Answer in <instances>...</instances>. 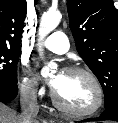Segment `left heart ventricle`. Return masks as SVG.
<instances>
[{
  "instance_id": "b2bd125f",
  "label": "left heart ventricle",
  "mask_w": 118,
  "mask_h": 123,
  "mask_svg": "<svg viewBox=\"0 0 118 123\" xmlns=\"http://www.w3.org/2000/svg\"><path fill=\"white\" fill-rule=\"evenodd\" d=\"M54 90L63 104L77 110L91 107L96 100L95 89L83 74L63 72Z\"/></svg>"
}]
</instances>
